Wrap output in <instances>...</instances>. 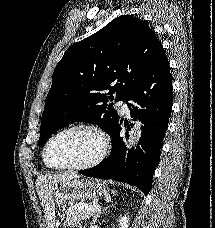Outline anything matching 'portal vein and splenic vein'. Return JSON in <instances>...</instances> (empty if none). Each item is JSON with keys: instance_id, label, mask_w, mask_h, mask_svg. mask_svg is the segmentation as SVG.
Here are the masks:
<instances>
[{"instance_id": "1", "label": "portal vein and splenic vein", "mask_w": 215, "mask_h": 228, "mask_svg": "<svg viewBox=\"0 0 215 228\" xmlns=\"http://www.w3.org/2000/svg\"><path fill=\"white\" fill-rule=\"evenodd\" d=\"M77 210H87V212H99L100 206H87V204H79Z\"/></svg>"}]
</instances>
